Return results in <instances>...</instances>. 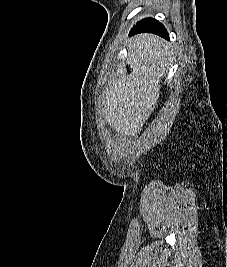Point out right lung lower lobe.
<instances>
[{
    "label": "right lung lower lobe",
    "instance_id": "98d812e1",
    "mask_svg": "<svg viewBox=\"0 0 227 267\" xmlns=\"http://www.w3.org/2000/svg\"><path fill=\"white\" fill-rule=\"evenodd\" d=\"M138 33H154L163 38L169 39V35L165 27L153 18H146L139 21L130 31V35Z\"/></svg>",
    "mask_w": 227,
    "mask_h": 267
}]
</instances>
